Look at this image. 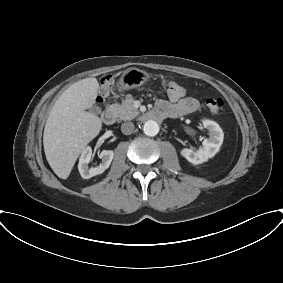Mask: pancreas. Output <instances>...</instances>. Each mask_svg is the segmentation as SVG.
Instances as JSON below:
<instances>
[{"instance_id": "pancreas-1", "label": "pancreas", "mask_w": 283, "mask_h": 283, "mask_svg": "<svg viewBox=\"0 0 283 283\" xmlns=\"http://www.w3.org/2000/svg\"><path fill=\"white\" fill-rule=\"evenodd\" d=\"M111 107L121 120H131L139 114L138 109L133 106L131 96H127L121 104H112Z\"/></svg>"}]
</instances>
